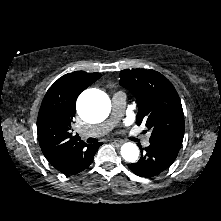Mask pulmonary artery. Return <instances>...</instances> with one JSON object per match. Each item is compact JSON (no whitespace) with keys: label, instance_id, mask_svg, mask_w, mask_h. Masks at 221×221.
Listing matches in <instances>:
<instances>
[{"label":"pulmonary artery","instance_id":"1","mask_svg":"<svg viewBox=\"0 0 221 221\" xmlns=\"http://www.w3.org/2000/svg\"><path fill=\"white\" fill-rule=\"evenodd\" d=\"M126 107V94L122 91L116 92L112 96V115L111 117L100 124L89 127L88 129L81 132L83 137H101L107 134L115 124L123 116ZM144 146L149 145V140L143 141Z\"/></svg>","mask_w":221,"mask_h":221}]
</instances>
